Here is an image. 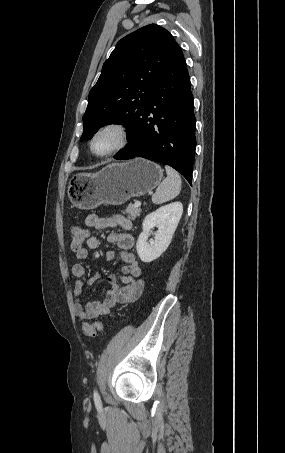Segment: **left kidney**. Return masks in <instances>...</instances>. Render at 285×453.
<instances>
[{"label":"left kidney","instance_id":"5707ae66","mask_svg":"<svg viewBox=\"0 0 285 453\" xmlns=\"http://www.w3.org/2000/svg\"><path fill=\"white\" fill-rule=\"evenodd\" d=\"M182 213V203L173 202L158 208L145 217L142 224L143 231L136 243L137 254L141 261L152 262L165 252L171 243ZM154 227H157L154 239L148 241Z\"/></svg>","mask_w":285,"mask_h":453}]
</instances>
